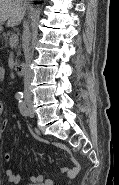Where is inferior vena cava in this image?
<instances>
[{
	"mask_svg": "<svg viewBox=\"0 0 119 185\" xmlns=\"http://www.w3.org/2000/svg\"><path fill=\"white\" fill-rule=\"evenodd\" d=\"M24 54H25V60H26V70L24 74V97L26 100H31L32 93H31V86L30 83L33 78V73L30 69V64L32 61V54L30 51V31L29 26L27 23H24Z\"/></svg>",
	"mask_w": 119,
	"mask_h": 185,
	"instance_id": "obj_1",
	"label": "inferior vena cava"
}]
</instances>
